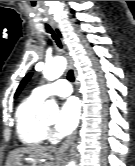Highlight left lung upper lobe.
Returning a JSON list of instances; mask_svg holds the SVG:
<instances>
[{
  "mask_svg": "<svg viewBox=\"0 0 135 166\" xmlns=\"http://www.w3.org/2000/svg\"><path fill=\"white\" fill-rule=\"evenodd\" d=\"M32 73L27 74L24 79L21 81L16 93H15V98L18 96V94L20 93V91L22 90V88L24 87V85L29 81L30 77H31Z\"/></svg>",
  "mask_w": 135,
  "mask_h": 166,
  "instance_id": "left-lung-upper-lobe-1",
  "label": "left lung upper lobe"
}]
</instances>
